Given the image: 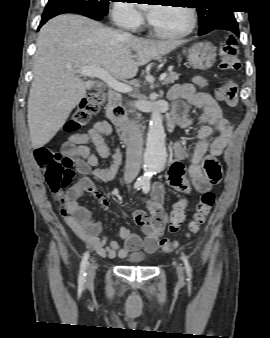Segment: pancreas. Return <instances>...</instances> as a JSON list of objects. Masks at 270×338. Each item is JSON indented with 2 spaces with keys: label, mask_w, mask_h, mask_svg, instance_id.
Segmentation results:
<instances>
[{
  "label": "pancreas",
  "mask_w": 270,
  "mask_h": 338,
  "mask_svg": "<svg viewBox=\"0 0 270 338\" xmlns=\"http://www.w3.org/2000/svg\"><path fill=\"white\" fill-rule=\"evenodd\" d=\"M179 78V74H177L176 72L170 71L168 73V76L165 78L164 83L165 84H172L174 83L176 80H178ZM126 117H122L121 121H125Z\"/></svg>",
  "instance_id": "pancreas-1"
}]
</instances>
